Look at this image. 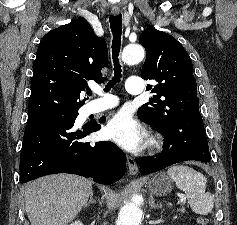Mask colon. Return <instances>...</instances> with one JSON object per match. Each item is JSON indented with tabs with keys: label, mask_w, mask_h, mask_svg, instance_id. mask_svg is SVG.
I'll return each mask as SVG.
<instances>
[{
	"label": "colon",
	"mask_w": 237,
	"mask_h": 225,
	"mask_svg": "<svg viewBox=\"0 0 237 225\" xmlns=\"http://www.w3.org/2000/svg\"><path fill=\"white\" fill-rule=\"evenodd\" d=\"M207 221L205 219L199 220V225H206Z\"/></svg>",
	"instance_id": "obj_1"
}]
</instances>
